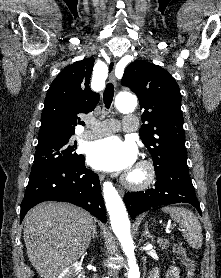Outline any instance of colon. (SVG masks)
<instances>
[{
    "instance_id": "colon-1",
    "label": "colon",
    "mask_w": 221,
    "mask_h": 278,
    "mask_svg": "<svg viewBox=\"0 0 221 278\" xmlns=\"http://www.w3.org/2000/svg\"><path fill=\"white\" fill-rule=\"evenodd\" d=\"M174 252L177 258L182 262V264L185 267V278H195L197 265L195 260L187 254L185 247L181 244H176L174 246Z\"/></svg>"
}]
</instances>
